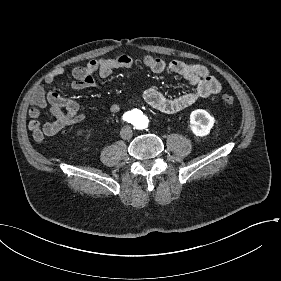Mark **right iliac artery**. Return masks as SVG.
<instances>
[{"label": "right iliac artery", "instance_id": "1", "mask_svg": "<svg viewBox=\"0 0 281 281\" xmlns=\"http://www.w3.org/2000/svg\"><path fill=\"white\" fill-rule=\"evenodd\" d=\"M123 120H124V121H130V120H131V113H130V112H126V113L123 115Z\"/></svg>", "mask_w": 281, "mask_h": 281}]
</instances>
